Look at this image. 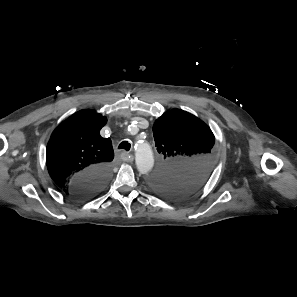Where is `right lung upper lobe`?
<instances>
[{"label": "right lung upper lobe", "mask_w": 297, "mask_h": 297, "mask_svg": "<svg viewBox=\"0 0 297 297\" xmlns=\"http://www.w3.org/2000/svg\"><path fill=\"white\" fill-rule=\"evenodd\" d=\"M107 118L95 110L71 115L52 133L47 146V168L54 182L65 191L73 177L96 166H109L114 158L112 142L99 132Z\"/></svg>", "instance_id": "1"}]
</instances>
